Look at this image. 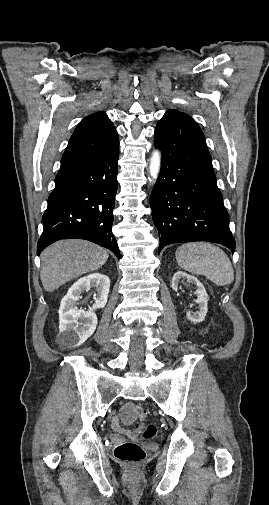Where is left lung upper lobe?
<instances>
[{"label":"left lung upper lobe","instance_id":"obj_1","mask_svg":"<svg viewBox=\"0 0 269 505\" xmlns=\"http://www.w3.org/2000/svg\"><path fill=\"white\" fill-rule=\"evenodd\" d=\"M167 112H174V110H169V111H167Z\"/></svg>","mask_w":269,"mask_h":505}]
</instances>
